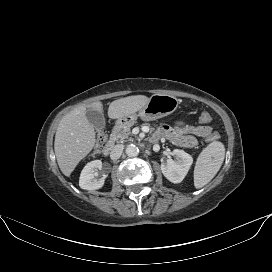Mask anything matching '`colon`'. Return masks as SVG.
<instances>
[{
    "label": "colon",
    "mask_w": 272,
    "mask_h": 272,
    "mask_svg": "<svg viewBox=\"0 0 272 272\" xmlns=\"http://www.w3.org/2000/svg\"><path fill=\"white\" fill-rule=\"evenodd\" d=\"M211 117L207 112H202L199 116V121L203 124L206 125L210 122ZM218 138V135L216 133H211L208 137L207 140L208 141H213L216 140ZM107 140V134L105 131L101 130L98 132L97 134V150H99L103 144L106 142Z\"/></svg>",
    "instance_id": "colon-1"
}]
</instances>
